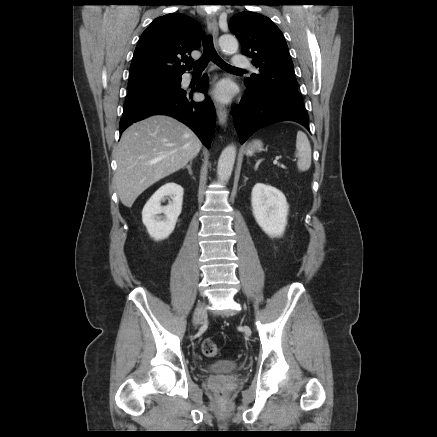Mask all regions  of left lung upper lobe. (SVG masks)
I'll return each mask as SVG.
<instances>
[{"label": "left lung upper lobe", "mask_w": 437, "mask_h": 437, "mask_svg": "<svg viewBox=\"0 0 437 437\" xmlns=\"http://www.w3.org/2000/svg\"><path fill=\"white\" fill-rule=\"evenodd\" d=\"M242 53L253 58L259 73L245 80L247 89L300 100L293 62L280 29L266 16L240 12L230 21Z\"/></svg>", "instance_id": "obj_1"}]
</instances>
